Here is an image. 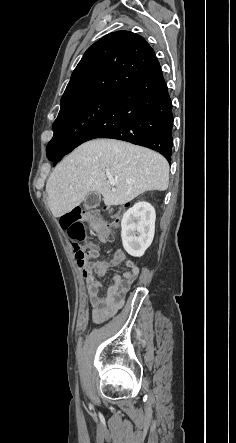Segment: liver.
<instances>
[{
	"label": "liver",
	"instance_id": "obj_1",
	"mask_svg": "<svg viewBox=\"0 0 236 443\" xmlns=\"http://www.w3.org/2000/svg\"><path fill=\"white\" fill-rule=\"evenodd\" d=\"M109 178L116 181L115 186ZM169 184V164L159 153L114 139L88 141L66 156L48 178V205L54 217L78 206L89 193L118 206Z\"/></svg>",
	"mask_w": 236,
	"mask_h": 443
}]
</instances>
